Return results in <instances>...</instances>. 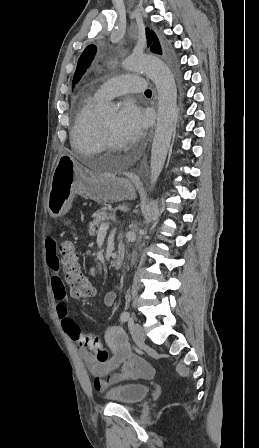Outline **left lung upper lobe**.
<instances>
[{
    "instance_id": "5c2ea615",
    "label": "left lung upper lobe",
    "mask_w": 259,
    "mask_h": 448,
    "mask_svg": "<svg viewBox=\"0 0 259 448\" xmlns=\"http://www.w3.org/2000/svg\"><path fill=\"white\" fill-rule=\"evenodd\" d=\"M146 35L148 39V46L151 45L150 50L157 54H162L161 46L158 41V38L156 34L153 31H150L149 29L146 30ZM96 53V47L94 45L88 46L80 56L77 68L74 74L73 78V85L77 83L80 78L82 77L83 73L86 71V68H88L92 62L93 57Z\"/></svg>"
}]
</instances>
